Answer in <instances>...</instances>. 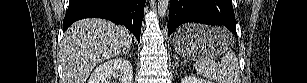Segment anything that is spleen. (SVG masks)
<instances>
[{
    "mask_svg": "<svg viewBox=\"0 0 307 83\" xmlns=\"http://www.w3.org/2000/svg\"><path fill=\"white\" fill-rule=\"evenodd\" d=\"M195 69L200 75L216 83H241L239 63L231 50L225 53L221 63L208 57L196 60Z\"/></svg>",
    "mask_w": 307,
    "mask_h": 83,
    "instance_id": "spleen-1",
    "label": "spleen"
}]
</instances>
